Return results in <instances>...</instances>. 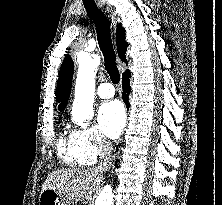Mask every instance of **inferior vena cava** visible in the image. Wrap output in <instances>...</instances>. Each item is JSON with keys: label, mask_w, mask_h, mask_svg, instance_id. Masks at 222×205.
Returning <instances> with one entry per match:
<instances>
[{"label": "inferior vena cava", "mask_w": 222, "mask_h": 205, "mask_svg": "<svg viewBox=\"0 0 222 205\" xmlns=\"http://www.w3.org/2000/svg\"><path fill=\"white\" fill-rule=\"evenodd\" d=\"M112 144L108 141L103 142L100 151V162L98 166L94 169L96 172L107 171L112 161Z\"/></svg>", "instance_id": "602c4592"}]
</instances>
